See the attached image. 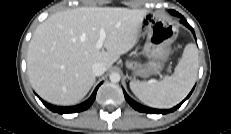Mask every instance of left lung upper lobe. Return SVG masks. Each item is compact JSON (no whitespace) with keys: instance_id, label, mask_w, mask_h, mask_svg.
<instances>
[{"instance_id":"5c2ea615","label":"left lung upper lobe","mask_w":231,"mask_h":134,"mask_svg":"<svg viewBox=\"0 0 231 134\" xmlns=\"http://www.w3.org/2000/svg\"><path fill=\"white\" fill-rule=\"evenodd\" d=\"M170 12L174 15H176V12L174 10H170Z\"/></svg>"}]
</instances>
